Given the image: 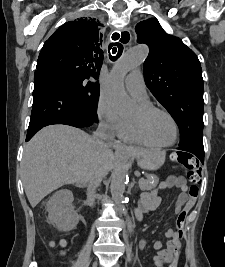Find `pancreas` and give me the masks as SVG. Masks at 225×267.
<instances>
[{
    "mask_svg": "<svg viewBox=\"0 0 225 267\" xmlns=\"http://www.w3.org/2000/svg\"><path fill=\"white\" fill-rule=\"evenodd\" d=\"M159 182V178L156 175H147L146 179H143L139 184V187L142 191H149L154 189Z\"/></svg>",
    "mask_w": 225,
    "mask_h": 267,
    "instance_id": "pancreas-1",
    "label": "pancreas"
}]
</instances>
